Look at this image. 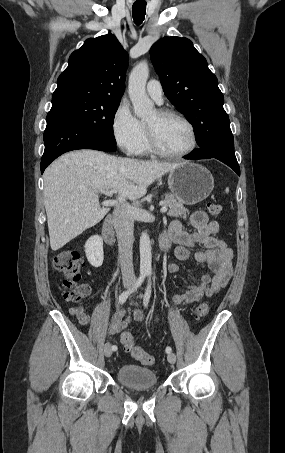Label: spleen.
Segmentation results:
<instances>
[{
	"label": "spleen",
	"mask_w": 285,
	"mask_h": 453,
	"mask_svg": "<svg viewBox=\"0 0 285 453\" xmlns=\"http://www.w3.org/2000/svg\"><path fill=\"white\" fill-rule=\"evenodd\" d=\"M225 192H226V193H228V192H229V188H228V187H227V188L225 189Z\"/></svg>",
	"instance_id": "spleen-1"
}]
</instances>
